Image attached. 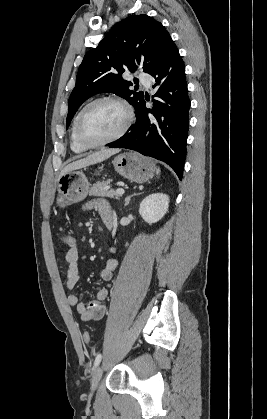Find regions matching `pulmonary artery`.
I'll return each mask as SVG.
<instances>
[{"label":"pulmonary artery","mask_w":267,"mask_h":419,"mask_svg":"<svg viewBox=\"0 0 267 419\" xmlns=\"http://www.w3.org/2000/svg\"><path fill=\"white\" fill-rule=\"evenodd\" d=\"M139 80L142 84H144L146 87H149L151 85V77L148 74L140 73L138 75Z\"/></svg>","instance_id":"1"}]
</instances>
